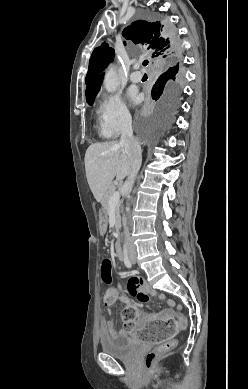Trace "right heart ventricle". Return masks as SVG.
<instances>
[{
    "mask_svg": "<svg viewBox=\"0 0 248 389\" xmlns=\"http://www.w3.org/2000/svg\"><path fill=\"white\" fill-rule=\"evenodd\" d=\"M97 127H98V130H99V133L102 137H105V138H108L110 136H108L103 128V125H102V120H101V117H100V114H99V111H98V116H97Z\"/></svg>",
    "mask_w": 248,
    "mask_h": 389,
    "instance_id": "right-heart-ventricle-1",
    "label": "right heart ventricle"
}]
</instances>
